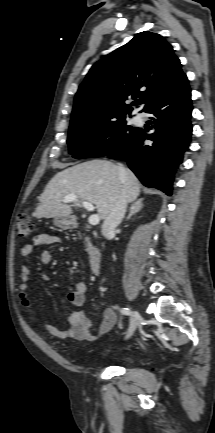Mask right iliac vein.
<instances>
[{
	"mask_svg": "<svg viewBox=\"0 0 215 433\" xmlns=\"http://www.w3.org/2000/svg\"><path fill=\"white\" fill-rule=\"evenodd\" d=\"M141 320V316L138 311H134L131 315L130 320V326L126 335V338H129L133 335L134 331L136 330L137 326L139 325V322Z\"/></svg>",
	"mask_w": 215,
	"mask_h": 433,
	"instance_id": "obj_1",
	"label": "right iliac vein"
}]
</instances>
